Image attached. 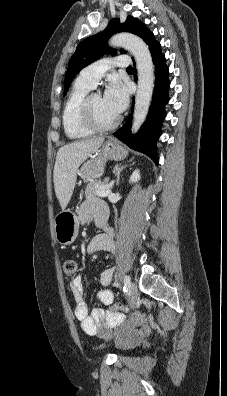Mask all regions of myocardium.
<instances>
[{
	"instance_id": "obj_1",
	"label": "myocardium",
	"mask_w": 227,
	"mask_h": 396,
	"mask_svg": "<svg viewBox=\"0 0 227 396\" xmlns=\"http://www.w3.org/2000/svg\"><path fill=\"white\" fill-rule=\"evenodd\" d=\"M93 95V93L87 94L81 104V116L84 124L93 132H105L115 128L120 121L118 117L106 124L100 123L97 120L91 104Z\"/></svg>"
}]
</instances>
